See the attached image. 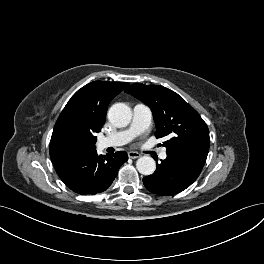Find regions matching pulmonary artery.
Returning <instances> with one entry per match:
<instances>
[{
    "label": "pulmonary artery",
    "mask_w": 264,
    "mask_h": 264,
    "mask_svg": "<svg viewBox=\"0 0 264 264\" xmlns=\"http://www.w3.org/2000/svg\"><path fill=\"white\" fill-rule=\"evenodd\" d=\"M152 118L153 114L150 107L143 103L136 104L133 108V118L130 126L101 138L98 142L99 147L105 149L107 147L121 146L130 142L134 137L148 129ZM159 156L161 159H166V151L162 150Z\"/></svg>",
    "instance_id": "e3ab8cb5"
}]
</instances>
